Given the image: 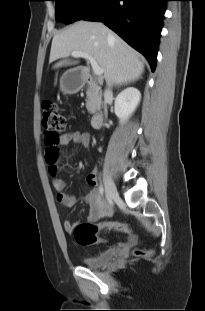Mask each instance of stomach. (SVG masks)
Wrapping results in <instances>:
<instances>
[{
	"instance_id": "obj_1",
	"label": "stomach",
	"mask_w": 205,
	"mask_h": 311,
	"mask_svg": "<svg viewBox=\"0 0 205 311\" xmlns=\"http://www.w3.org/2000/svg\"><path fill=\"white\" fill-rule=\"evenodd\" d=\"M85 81V76L79 69H70L66 71L60 79L61 90L66 94L78 92Z\"/></svg>"
}]
</instances>
